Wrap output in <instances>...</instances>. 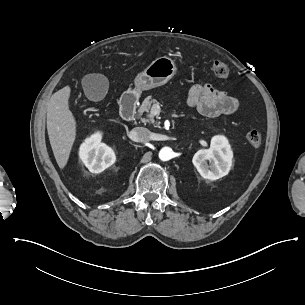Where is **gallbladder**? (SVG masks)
<instances>
[{
    "label": "gallbladder",
    "mask_w": 305,
    "mask_h": 305,
    "mask_svg": "<svg viewBox=\"0 0 305 305\" xmlns=\"http://www.w3.org/2000/svg\"><path fill=\"white\" fill-rule=\"evenodd\" d=\"M82 86L89 100L100 101L108 92L109 81L102 74H87L82 78Z\"/></svg>",
    "instance_id": "gallbladder-1"
}]
</instances>
